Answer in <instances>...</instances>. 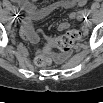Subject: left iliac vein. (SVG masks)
Wrapping results in <instances>:
<instances>
[{
	"mask_svg": "<svg viewBox=\"0 0 103 103\" xmlns=\"http://www.w3.org/2000/svg\"><path fill=\"white\" fill-rule=\"evenodd\" d=\"M91 24H92V21L89 20V21L87 22V25L90 26Z\"/></svg>",
	"mask_w": 103,
	"mask_h": 103,
	"instance_id": "left-iliac-vein-1",
	"label": "left iliac vein"
}]
</instances>
